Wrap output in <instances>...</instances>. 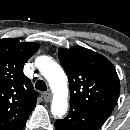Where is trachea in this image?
I'll return each instance as SVG.
<instances>
[{"label": "trachea", "instance_id": "3493384b", "mask_svg": "<svg viewBox=\"0 0 130 130\" xmlns=\"http://www.w3.org/2000/svg\"><path fill=\"white\" fill-rule=\"evenodd\" d=\"M35 88L37 90H41V91H46L47 90V85L43 80H38L35 84Z\"/></svg>", "mask_w": 130, "mask_h": 130}]
</instances>
